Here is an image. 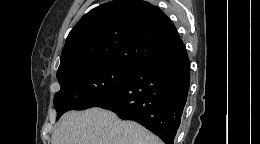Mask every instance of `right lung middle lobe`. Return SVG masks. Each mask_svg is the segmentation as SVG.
Instances as JSON below:
<instances>
[{
  "label": "right lung middle lobe",
  "mask_w": 260,
  "mask_h": 144,
  "mask_svg": "<svg viewBox=\"0 0 260 144\" xmlns=\"http://www.w3.org/2000/svg\"><path fill=\"white\" fill-rule=\"evenodd\" d=\"M133 68L97 65L57 76L61 89L55 94L57 119L69 110L96 106L114 94L129 78Z\"/></svg>",
  "instance_id": "right-lung-middle-lobe-1"
}]
</instances>
